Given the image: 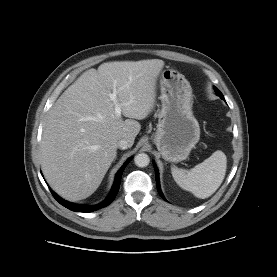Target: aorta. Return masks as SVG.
<instances>
[{"label": "aorta", "instance_id": "762f6f07", "mask_svg": "<svg viewBox=\"0 0 277 277\" xmlns=\"http://www.w3.org/2000/svg\"><path fill=\"white\" fill-rule=\"evenodd\" d=\"M134 162L138 167H146L147 165H149L150 158L147 154L140 153L135 156Z\"/></svg>", "mask_w": 277, "mask_h": 277}]
</instances>
